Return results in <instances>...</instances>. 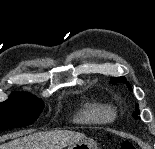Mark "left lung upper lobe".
I'll list each match as a JSON object with an SVG mask.
<instances>
[{
  "instance_id": "5c2ea615",
  "label": "left lung upper lobe",
  "mask_w": 155,
  "mask_h": 149,
  "mask_svg": "<svg viewBox=\"0 0 155 149\" xmlns=\"http://www.w3.org/2000/svg\"><path fill=\"white\" fill-rule=\"evenodd\" d=\"M111 83L112 84H117V83H125L127 84L128 88L130 90H132L131 86L129 85V83L127 82L126 78L125 77H117V78H111ZM139 109H138V104H136L135 106V112L132 114V116L137 119L139 118Z\"/></svg>"
}]
</instances>
